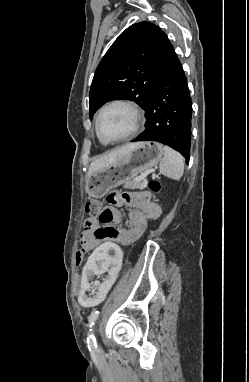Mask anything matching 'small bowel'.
<instances>
[{
  "instance_id": "c3829d8e",
  "label": "small bowel",
  "mask_w": 249,
  "mask_h": 382,
  "mask_svg": "<svg viewBox=\"0 0 249 382\" xmlns=\"http://www.w3.org/2000/svg\"><path fill=\"white\" fill-rule=\"evenodd\" d=\"M107 201L110 207L103 209L99 215L84 220L80 235L83 252L95 250V245H101L103 240L118 241L121 244L138 240L147 228L148 219L158 213L157 205L147 193L135 195L114 191L108 195ZM123 206L131 208L127 214L126 228L119 227L122 215L117 208Z\"/></svg>"
}]
</instances>
